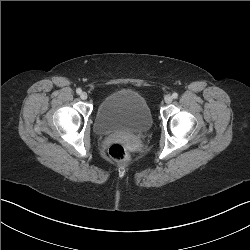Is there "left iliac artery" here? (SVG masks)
Wrapping results in <instances>:
<instances>
[{
  "mask_svg": "<svg viewBox=\"0 0 250 250\" xmlns=\"http://www.w3.org/2000/svg\"><path fill=\"white\" fill-rule=\"evenodd\" d=\"M172 97H173L174 99H176V98H178V94H177L176 92H174V93L172 94Z\"/></svg>",
  "mask_w": 250,
  "mask_h": 250,
  "instance_id": "1",
  "label": "left iliac artery"
}]
</instances>
